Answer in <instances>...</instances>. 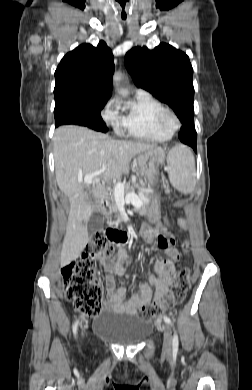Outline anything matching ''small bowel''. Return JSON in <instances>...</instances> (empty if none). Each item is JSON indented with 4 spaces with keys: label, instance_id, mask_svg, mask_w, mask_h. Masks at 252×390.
<instances>
[{
    "label": "small bowel",
    "instance_id": "1",
    "mask_svg": "<svg viewBox=\"0 0 252 390\" xmlns=\"http://www.w3.org/2000/svg\"><path fill=\"white\" fill-rule=\"evenodd\" d=\"M184 225L183 221H180ZM143 236L151 239L156 236L158 245L163 248L168 258L157 261L154 265L156 277L152 279L155 289L152 290L149 280H144L139 286V293H133L127 297V290L122 286L116 285V279L122 277L125 273L123 266L114 264L110 258L99 259V264L110 272L106 277L108 290L107 299L104 307L117 313L136 314L141 307L160 302L169 291V286L175 280L174 264L179 260L180 254L175 248V238L166 229L158 227H146L143 230ZM124 253V251L122 252Z\"/></svg>",
    "mask_w": 252,
    "mask_h": 390
}]
</instances>
